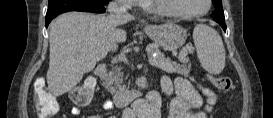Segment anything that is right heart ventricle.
I'll list each match as a JSON object with an SVG mask.
<instances>
[{
    "mask_svg": "<svg viewBox=\"0 0 273 118\" xmlns=\"http://www.w3.org/2000/svg\"><path fill=\"white\" fill-rule=\"evenodd\" d=\"M143 5H144L145 9H149V10H151V8L154 6V5L150 4L149 1L143 2Z\"/></svg>",
    "mask_w": 273,
    "mask_h": 118,
    "instance_id": "1",
    "label": "right heart ventricle"
}]
</instances>
